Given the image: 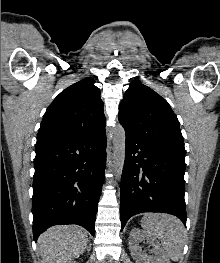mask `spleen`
<instances>
[{"label":"spleen","instance_id":"3e777b00","mask_svg":"<svg viewBox=\"0 0 220 263\" xmlns=\"http://www.w3.org/2000/svg\"><path fill=\"white\" fill-rule=\"evenodd\" d=\"M141 226L160 240L167 257L173 261L181 258L186 231L178 218L168 214L147 213L141 220Z\"/></svg>","mask_w":220,"mask_h":263}]
</instances>
